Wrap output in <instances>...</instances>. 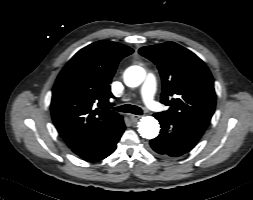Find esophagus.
<instances>
[{"label": "esophagus", "instance_id": "1", "mask_svg": "<svg viewBox=\"0 0 253 200\" xmlns=\"http://www.w3.org/2000/svg\"><path fill=\"white\" fill-rule=\"evenodd\" d=\"M139 118H140L139 115H134V114H131V115H130V119H131L133 122H136Z\"/></svg>", "mask_w": 253, "mask_h": 200}]
</instances>
